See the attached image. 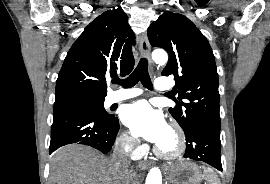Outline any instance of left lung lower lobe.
<instances>
[{"instance_id":"0a47b994","label":"left lung lower lobe","mask_w":270,"mask_h":184,"mask_svg":"<svg viewBox=\"0 0 270 184\" xmlns=\"http://www.w3.org/2000/svg\"><path fill=\"white\" fill-rule=\"evenodd\" d=\"M185 135V158L203 161L222 171L220 130L197 126Z\"/></svg>"}]
</instances>
